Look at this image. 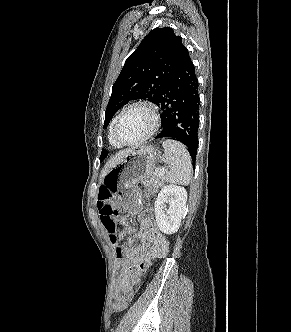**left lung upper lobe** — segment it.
I'll use <instances>...</instances> for the list:
<instances>
[{
    "label": "left lung upper lobe",
    "mask_w": 291,
    "mask_h": 332,
    "mask_svg": "<svg viewBox=\"0 0 291 332\" xmlns=\"http://www.w3.org/2000/svg\"><path fill=\"white\" fill-rule=\"evenodd\" d=\"M185 50L182 38L176 36L172 28L153 29L127 58L112 87L104 127L130 100L144 99L156 104ZM107 154L108 151L103 149L100 160Z\"/></svg>",
    "instance_id": "left-lung-upper-lobe-1"
}]
</instances>
